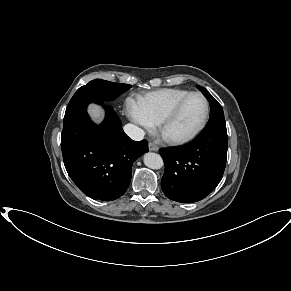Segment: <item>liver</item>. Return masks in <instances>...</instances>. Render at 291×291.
I'll list each match as a JSON object with an SVG mask.
<instances>
[{"mask_svg": "<svg viewBox=\"0 0 291 291\" xmlns=\"http://www.w3.org/2000/svg\"><path fill=\"white\" fill-rule=\"evenodd\" d=\"M89 114L91 115V117L95 120H101L102 116H103V112L100 109V107L96 106V105H90L89 106Z\"/></svg>", "mask_w": 291, "mask_h": 291, "instance_id": "obj_1", "label": "liver"}]
</instances>
